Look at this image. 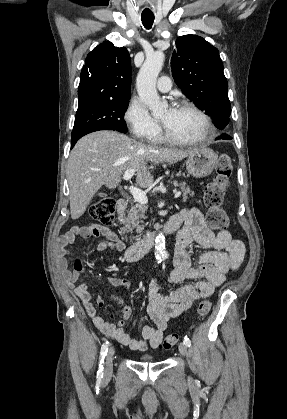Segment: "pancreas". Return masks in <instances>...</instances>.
Returning <instances> with one entry per match:
<instances>
[{"mask_svg":"<svg viewBox=\"0 0 287 419\" xmlns=\"http://www.w3.org/2000/svg\"><path fill=\"white\" fill-rule=\"evenodd\" d=\"M183 192V200H187L189 196H193L194 192L186 185V183H181L179 185ZM147 207L144 204H140L136 201L131 203V208L127 211V214H122L120 216V221L124 225L121 228V233L125 234L136 229L137 233H141L144 225H142L143 220L145 219V213ZM133 239L138 240L139 236L133 237Z\"/></svg>","mask_w":287,"mask_h":419,"instance_id":"pancreas-1","label":"pancreas"}]
</instances>
